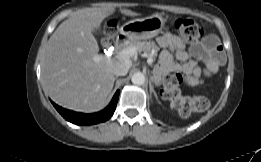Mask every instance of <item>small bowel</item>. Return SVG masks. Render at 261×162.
Masks as SVG:
<instances>
[{"label":"small bowel","instance_id":"c3829d8e","mask_svg":"<svg viewBox=\"0 0 261 162\" xmlns=\"http://www.w3.org/2000/svg\"><path fill=\"white\" fill-rule=\"evenodd\" d=\"M158 43L165 48L159 57L161 72H183L187 82L193 84L201 76H210L217 72L226 61L222 46L213 35L195 44L190 52L185 43L172 33H165L158 38ZM174 57L180 62H176ZM198 63L203 64V67Z\"/></svg>","mask_w":261,"mask_h":162}]
</instances>
